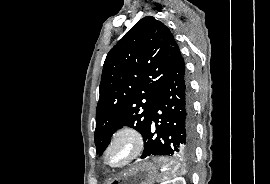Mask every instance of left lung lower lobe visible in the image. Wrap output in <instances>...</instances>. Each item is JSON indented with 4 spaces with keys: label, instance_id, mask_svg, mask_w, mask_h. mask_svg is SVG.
<instances>
[{
    "label": "left lung lower lobe",
    "instance_id": "obj_1",
    "mask_svg": "<svg viewBox=\"0 0 270 184\" xmlns=\"http://www.w3.org/2000/svg\"><path fill=\"white\" fill-rule=\"evenodd\" d=\"M141 158L194 156L195 123L189 82L182 56L161 86L145 134Z\"/></svg>",
    "mask_w": 270,
    "mask_h": 184
}]
</instances>
